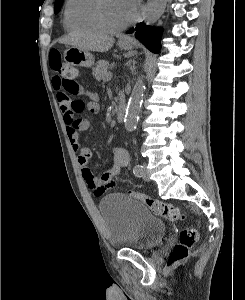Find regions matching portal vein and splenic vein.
Wrapping results in <instances>:
<instances>
[{
    "label": "portal vein and splenic vein",
    "mask_w": 245,
    "mask_h": 300,
    "mask_svg": "<svg viewBox=\"0 0 245 300\" xmlns=\"http://www.w3.org/2000/svg\"><path fill=\"white\" fill-rule=\"evenodd\" d=\"M112 77H113V73L110 72V73L108 74L107 78H108V79H111Z\"/></svg>",
    "instance_id": "portal-vein-and-splenic-vein-1"
}]
</instances>
